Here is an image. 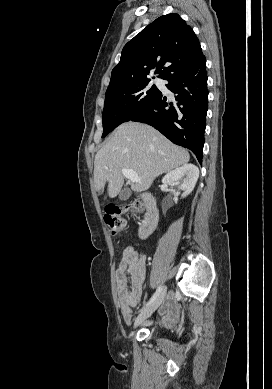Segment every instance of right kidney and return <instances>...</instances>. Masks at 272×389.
Segmentation results:
<instances>
[{"instance_id":"1","label":"right kidney","mask_w":272,"mask_h":389,"mask_svg":"<svg viewBox=\"0 0 272 389\" xmlns=\"http://www.w3.org/2000/svg\"><path fill=\"white\" fill-rule=\"evenodd\" d=\"M199 169L193 164H184L181 167H178L170 171L162 180L163 184L167 185L169 183H174L179 185V190H181L182 197L189 195L198 180Z\"/></svg>"}]
</instances>
